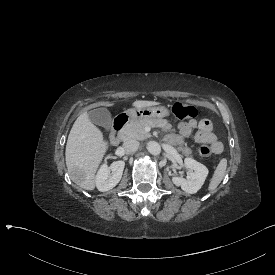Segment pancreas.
<instances>
[{"instance_id": "pancreas-1", "label": "pancreas", "mask_w": 275, "mask_h": 275, "mask_svg": "<svg viewBox=\"0 0 275 275\" xmlns=\"http://www.w3.org/2000/svg\"><path fill=\"white\" fill-rule=\"evenodd\" d=\"M159 127L163 132H175L172 124L166 119L134 120L130 121L122 130L124 139L145 140L150 133L145 131V127ZM177 150L189 158H193L192 149L188 146H178Z\"/></svg>"}]
</instances>
